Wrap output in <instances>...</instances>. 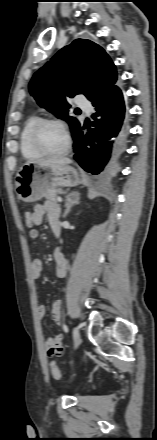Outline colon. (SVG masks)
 <instances>
[{"instance_id":"5ec220e1","label":"colon","mask_w":157,"mask_h":440,"mask_svg":"<svg viewBox=\"0 0 157 440\" xmlns=\"http://www.w3.org/2000/svg\"><path fill=\"white\" fill-rule=\"evenodd\" d=\"M24 222H25L26 227H28L30 229H33L35 227V219H34L33 212H30V211L25 212ZM62 353H63V348L61 346H56L51 350V355L60 356ZM50 370H51V374L55 380L61 379V376H62L61 371L55 362H51Z\"/></svg>"}]
</instances>
